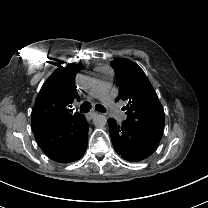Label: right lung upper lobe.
I'll return each mask as SVG.
<instances>
[{
	"mask_svg": "<svg viewBox=\"0 0 208 208\" xmlns=\"http://www.w3.org/2000/svg\"><path fill=\"white\" fill-rule=\"evenodd\" d=\"M79 69V65L60 67L45 81L32 110V127L66 123L82 115L69 109L80 99L74 83Z\"/></svg>",
	"mask_w": 208,
	"mask_h": 208,
	"instance_id": "obj_1",
	"label": "right lung upper lobe"
}]
</instances>
